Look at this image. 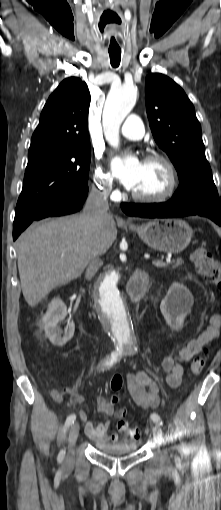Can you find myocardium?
<instances>
[{
    "mask_svg": "<svg viewBox=\"0 0 221 510\" xmlns=\"http://www.w3.org/2000/svg\"><path fill=\"white\" fill-rule=\"evenodd\" d=\"M150 161H159L165 167L168 173V183L166 188L161 193L155 195H142L132 191L131 197L142 203H160L168 200L175 193L178 184L177 171L173 162L165 154L158 152L150 153L144 158V162Z\"/></svg>",
    "mask_w": 221,
    "mask_h": 510,
    "instance_id": "myocardium-1",
    "label": "myocardium"
}]
</instances>
